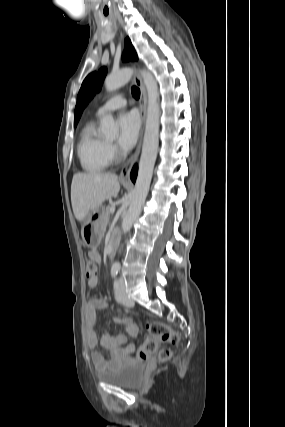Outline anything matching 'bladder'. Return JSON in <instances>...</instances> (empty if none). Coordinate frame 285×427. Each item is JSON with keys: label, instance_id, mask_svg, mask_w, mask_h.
<instances>
[{"label": "bladder", "instance_id": "obj_1", "mask_svg": "<svg viewBox=\"0 0 285 427\" xmlns=\"http://www.w3.org/2000/svg\"><path fill=\"white\" fill-rule=\"evenodd\" d=\"M143 375V366L140 364H133L117 370L100 372L97 378L103 383L117 387L134 388L141 383Z\"/></svg>", "mask_w": 285, "mask_h": 427}]
</instances>
